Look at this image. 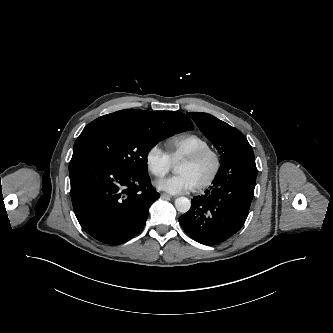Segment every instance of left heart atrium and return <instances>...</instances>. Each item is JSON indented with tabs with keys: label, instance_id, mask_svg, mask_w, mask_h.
<instances>
[{
	"label": "left heart atrium",
	"instance_id": "1",
	"mask_svg": "<svg viewBox=\"0 0 333 333\" xmlns=\"http://www.w3.org/2000/svg\"><path fill=\"white\" fill-rule=\"evenodd\" d=\"M156 186L171 194L186 193L196 188L194 181L188 175L181 173L157 181Z\"/></svg>",
	"mask_w": 333,
	"mask_h": 333
}]
</instances>
